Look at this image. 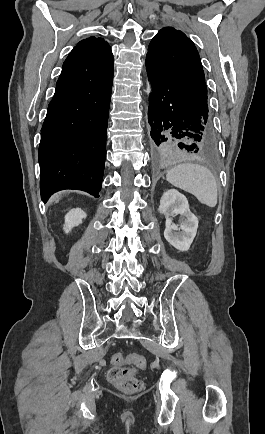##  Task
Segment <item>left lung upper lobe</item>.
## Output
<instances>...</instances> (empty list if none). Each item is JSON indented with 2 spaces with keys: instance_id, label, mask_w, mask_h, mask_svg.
Here are the masks:
<instances>
[{
  "instance_id": "5c2ea615",
  "label": "left lung upper lobe",
  "mask_w": 265,
  "mask_h": 434,
  "mask_svg": "<svg viewBox=\"0 0 265 434\" xmlns=\"http://www.w3.org/2000/svg\"><path fill=\"white\" fill-rule=\"evenodd\" d=\"M146 57L174 78L201 106L208 107L199 54L192 40L182 31L162 28L151 40Z\"/></svg>"
}]
</instances>
